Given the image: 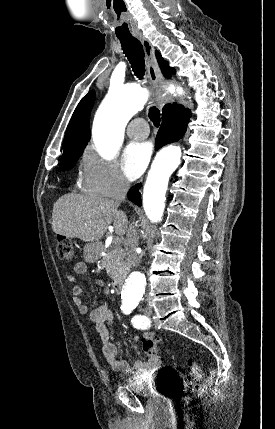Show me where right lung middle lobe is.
<instances>
[{
	"label": "right lung middle lobe",
	"mask_w": 275,
	"mask_h": 429,
	"mask_svg": "<svg viewBox=\"0 0 275 429\" xmlns=\"http://www.w3.org/2000/svg\"><path fill=\"white\" fill-rule=\"evenodd\" d=\"M81 154H82V152H79L76 154H71V155H67V156L62 157L58 170L59 171H66V170L73 168L74 165L76 164L77 160L81 156Z\"/></svg>",
	"instance_id": "right-lung-middle-lobe-1"
}]
</instances>
